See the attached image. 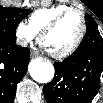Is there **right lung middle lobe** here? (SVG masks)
Masks as SVG:
<instances>
[{
  "mask_svg": "<svg viewBox=\"0 0 103 103\" xmlns=\"http://www.w3.org/2000/svg\"><path fill=\"white\" fill-rule=\"evenodd\" d=\"M30 10L0 7V38L16 40L15 29Z\"/></svg>",
  "mask_w": 103,
  "mask_h": 103,
  "instance_id": "dd1d6c3e",
  "label": "right lung middle lobe"
}]
</instances>
